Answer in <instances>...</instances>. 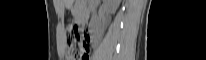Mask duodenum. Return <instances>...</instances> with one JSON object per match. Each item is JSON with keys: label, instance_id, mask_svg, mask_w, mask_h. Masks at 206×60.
<instances>
[{"label": "duodenum", "instance_id": "1", "mask_svg": "<svg viewBox=\"0 0 206 60\" xmlns=\"http://www.w3.org/2000/svg\"><path fill=\"white\" fill-rule=\"evenodd\" d=\"M83 23H81V28H88V24H90V19H83V21H82Z\"/></svg>", "mask_w": 206, "mask_h": 60}]
</instances>
